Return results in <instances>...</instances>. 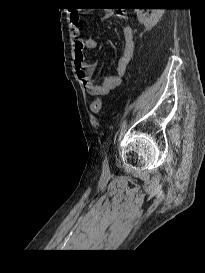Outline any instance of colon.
Instances as JSON below:
<instances>
[{"label":"colon","instance_id":"colon-1","mask_svg":"<svg viewBox=\"0 0 205 273\" xmlns=\"http://www.w3.org/2000/svg\"><path fill=\"white\" fill-rule=\"evenodd\" d=\"M102 109V101L101 99L97 98L95 100H93V102L91 103V110L94 113H99Z\"/></svg>","mask_w":205,"mask_h":273}]
</instances>
